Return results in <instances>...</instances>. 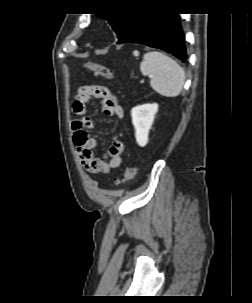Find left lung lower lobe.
Wrapping results in <instances>:
<instances>
[{"label":"left lung lower lobe","instance_id":"0a47b994","mask_svg":"<svg viewBox=\"0 0 252 303\" xmlns=\"http://www.w3.org/2000/svg\"><path fill=\"white\" fill-rule=\"evenodd\" d=\"M133 42L164 50L186 62L185 39L178 14L145 13L134 29L118 44Z\"/></svg>","mask_w":252,"mask_h":303}]
</instances>
